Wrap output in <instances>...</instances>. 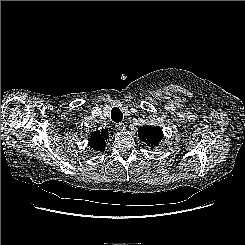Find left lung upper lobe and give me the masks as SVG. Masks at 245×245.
I'll return each mask as SVG.
<instances>
[{
  "instance_id": "5c2ea615",
  "label": "left lung upper lobe",
  "mask_w": 245,
  "mask_h": 245,
  "mask_svg": "<svg viewBox=\"0 0 245 245\" xmlns=\"http://www.w3.org/2000/svg\"><path fill=\"white\" fill-rule=\"evenodd\" d=\"M138 137L153 150L161 142L163 132L158 126H143L138 129Z\"/></svg>"
}]
</instances>
